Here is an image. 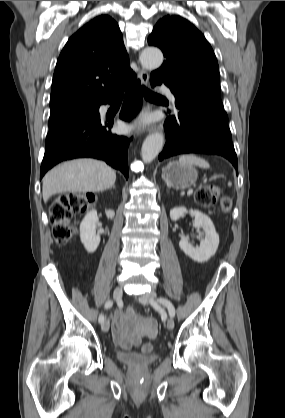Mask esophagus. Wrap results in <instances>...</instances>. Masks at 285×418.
<instances>
[{"instance_id": "obj_1", "label": "esophagus", "mask_w": 285, "mask_h": 418, "mask_svg": "<svg viewBox=\"0 0 285 418\" xmlns=\"http://www.w3.org/2000/svg\"><path fill=\"white\" fill-rule=\"evenodd\" d=\"M138 76H139V78H140V80H141V82L143 83V84H147L148 83V80H149V74H148V72L146 71V70H144V69H140L139 70V74H138ZM147 130L149 131V132H155V131H161L162 130V127L160 126V125H151V126H149L148 128H147Z\"/></svg>"}]
</instances>
